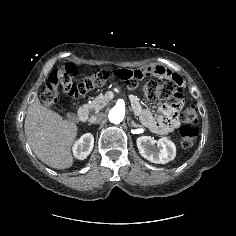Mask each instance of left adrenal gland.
<instances>
[{"label": "left adrenal gland", "mask_w": 236, "mask_h": 236, "mask_svg": "<svg viewBox=\"0 0 236 236\" xmlns=\"http://www.w3.org/2000/svg\"><path fill=\"white\" fill-rule=\"evenodd\" d=\"M131 126L132 127H140V125L136 124L133 120L131 121Z\"/></svg>", "instance_id": "obj_1"}]
</instances>
